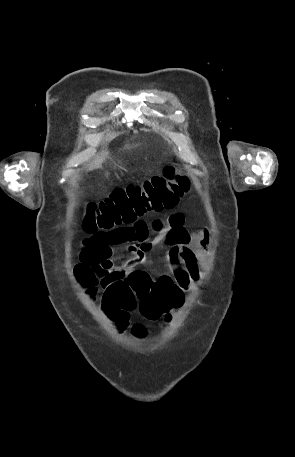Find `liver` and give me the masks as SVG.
Instances as JSON below:
<instances>
[{
    "label": "liver",
    "instance_id": "liver-1",
    "mask_svg": "<svg viewBox=\"0 0 295 457\" xmlns=\"http://www.w3.org/2000/svg\"><path fill=\"white\" fill-rule=\"evenodd\" d=\"M126 147H128V146H126ZM107 156H108V150L101 151V153L93 160V162L89 166V170L100 168Z\"/></svg>",
    "mask_w": 295,
    "mask_h": 457
}]
</instances>
